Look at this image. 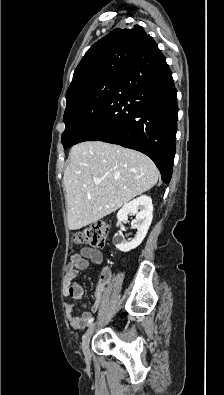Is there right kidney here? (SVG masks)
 <instances>
[{
  "label": "right kidney",
  "mask_w": 224,
  "mask_h": 395,
  "mask_svg": "<svg viewBox=\"0 0 224 395\" xmlns=\"http://www.w3.org/2000/svg\"><path fill=\"white\" fill-rule=\"evenodd\" d=\"M152 212V199L146 195L132 200L119 210L117 214V226L127 220L128 214H136V219L131 225L133 229H137V232L135 237L129 242H125L122 236L116 233L113 237V242L118 250L129 252L142 243L152 222Z\"/></svg>",
  "instance_id": "obj_1"
}]
</instances>
